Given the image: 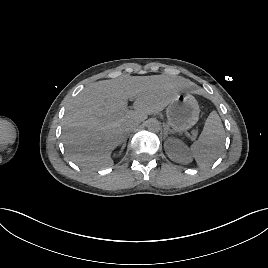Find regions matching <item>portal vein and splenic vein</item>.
Segmentation results:
<instances>
[{"label": "portal vein and splenic vein", "mask_w": 268, "mask_h": 268, "mask_svg": "<svg viewBox=\"0 0 268 268\" xmlns=\"http://www.w3.org/2000/svg\"><path fill=\"white\" fill-rule=\"evenodd\" d=\"M130 100H133V99H130ZM128 111V109L127 108H125V109H123L121 112H120V114H123V113H126ZM114 116H111V117H109L110 119L111 118H113Z\"/></svg>", "instance_id": "1"}]
</instances>
